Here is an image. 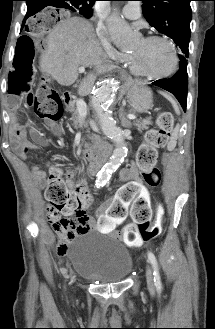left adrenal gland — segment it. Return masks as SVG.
I'll return each instance as SVG.
<instances>
[{
    "mask_svg": "<svg viewBox=\"0 0 215 329\" xmlns=\"http://www.w3.org/2000/svg\"><path fill=\"white\" fill-rule=\"evenodd\" d=\"M119 117H120L122 126H124V127H130L131 123L126 118V116H125V112H124V107L123 106L120 108Z\"/></svg>",
    "mask_w": 215,
    "mask_h": 329,
    "instance_id": "1",
    "label": "left adrenal gland"
}]
</instances>
